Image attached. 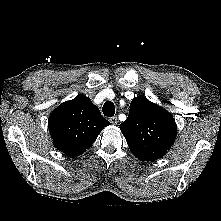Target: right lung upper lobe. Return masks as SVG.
<instances>
[{"instance_id": "cb5924a9", "label": "right lung upper lobe", "mask_w": 221, "mask_h": 221, "mask_svg": "<svg viewBox=\"0 0 221 221\" xmlns=\"http://www.w3.org/2000/svg\"><path fill=\"white\" fill-rule=\"evenodd\" d=\"M108 125L98 107L82 94L62 103L48 120L54 146L68 156L85 152Z\"/></svg>"}]
</instances>
